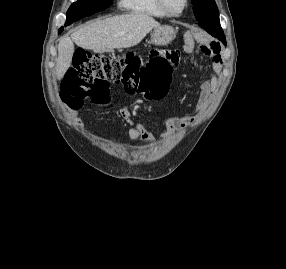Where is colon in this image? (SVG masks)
Instances as JSON below:
<instances>
[{
	"label": "colon",
	"mask_w": 286,
	"mask_h": 269,
	"mask_svg": "<svg viewBox=\"0 0 286 269\" xmlns=\"http://www.w3.org/2000/svg\"><path fill=\"white\" fill-rule=\"evenodd\" d=\"M177 57L175 50H154L150 60L143 62L133 53L107 56L78 49L61 99L73 109L80 107L87 97L102 102L111 82L123 84L130 94L159 98L170 85L172 61Z\"/></svg>",
	"instance_id": "1"
}]
</instances>
